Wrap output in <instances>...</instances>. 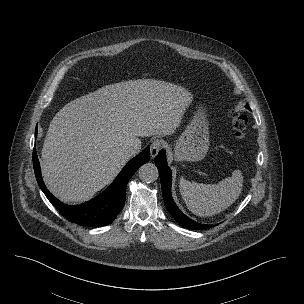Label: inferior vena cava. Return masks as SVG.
I'll return each mask as SVG.
<instances>
[{"label": "inferior vena cava", "mask_w": 304, "mask_h": 304, "mask_svg": "<svg viewBox=\"0 0 304 304\" xmlns=\"http://www.w3.org/2000/svg\"><path fill=\"white\" fill-rule=\"evenodd\" d=\"M140 148H141V145L139 143L130 142L126 146V153L128 156L132 157L140 151Z\"/></svg>", "instance_id": "inferior-vena-cava-1"}]
</instances>
